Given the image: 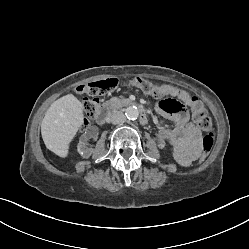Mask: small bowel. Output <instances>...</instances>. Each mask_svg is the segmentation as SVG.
Masks as SVG:
<instances>
[{"mask_svg":"<svg viewBox=\"0 0 249 249\" xmlns=\"http://www.w3.org/2000/svg\"><path fill=\"white\" fill-rule=\"evenodd\" d=\"M165 98L161 99L156 110L161 116L171 119L173 128L162 127L158 139L174 149L175 158L182 166H188L200 153L202 136L197 126L190 120L189 111L199 101L195 96L170 84L162 85Z\"/></svg>","mask_w":249,"mask_h":249,"instance_id":"small-bowel-1","label":"small bowel"}]
</instances>
